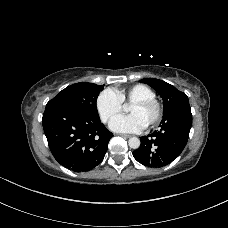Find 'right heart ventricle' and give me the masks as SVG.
<instances>
[{
	"label": "right heart ventricle",
	"mask_w": 228,
	"mask_h": 228,
	"mask_svg": "<svg viewBox=\"0 0 228 228\" xmlns=\"http://www.w3.org/2000/svg\"><path fill=\"white\" fill-rule=\"evenodd\" d=\"M120 100L125 103H132L137 100L155 98V92L143 84H135L127 89L116 90Z\"/></svg>",
	"instance_id": "right-heart-ventricle-1"
}]
</instances>
